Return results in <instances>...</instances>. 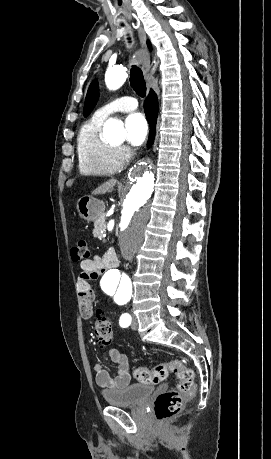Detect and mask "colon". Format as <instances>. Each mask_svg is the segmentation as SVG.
<instances>
[{"label":"colon","instance_id":"colon-1","mask_svg":"<svg viewBox=\"0 0 271 459\" xmlns=\"http://www.w3.org/2000/svg\"><path fill=\"white\" fill-rule=\"evenodd\" d=\"M90 251L85 241H79L71 248L73 261L88 259ZM94 332L102 345H108L113 339L112 326L109 319L98 311L94 322ZM170 373L178 378L176 388L161 393L155 401V416L159 422L166 421L178 414L186 400L195 394L194 371L182 361L173 359L155 365L152 368L138 367L134 371V378L147 385H156L163 382Z\"/></svg>","mask_w":271,"mask_h":459}]
</instances>
